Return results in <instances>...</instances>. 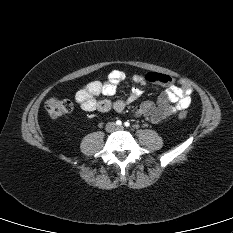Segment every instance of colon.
I'll use <instances>...</instances> for the list:
<instances>
[{
  "label": "colon",
  "mask_w": 233,
  "mask_h": 233,
  "mask_svg": "<svg viewBox=\"0 0 233 233\" xmlns=\"http://www.w3.org/2000/svg\"><path fill=\"white\" fill-rule=\"evenodd\" d=\"M45 108L51 117L59 118L71 112L72 103L69 99L53 97L46 101ZM187 115L186 111H181L178 114L181 119L186 118Z\"/></svg>",
  "instance_id": "1"
}]
</instances>
